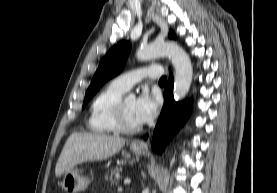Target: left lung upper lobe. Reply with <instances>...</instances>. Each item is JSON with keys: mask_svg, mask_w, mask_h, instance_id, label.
<instances>
[{"mask_svg": "<svg viewBox=\"0 0 277 193\" xmlns=\"http://www.w3.org/2000/svg\"><path fill=\"white\" fill-rule=\"evenodd\" d=\"M169 37L174 38L172 31L169 32ZM130 49V43L122 41L112 47L104 56L86 92L83 108L105 82L118 75L123 70Z\"/></svg>", "mask_w": 277, "mask_h": 193, "instance_id": "obj_1", "label": "left lung upper lobe"}]
</instances>
